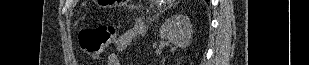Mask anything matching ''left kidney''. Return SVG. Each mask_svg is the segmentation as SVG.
<instances>
[{
    "label": "left kidney",
    "mask_w": 309,
    "mask_h": 65,
    "mask_svg": "<svg viewBox=\"0 0 309 65\" xmlns=\"http://www.w3.org/2000/svg\"><path fill=\"white\" fill-rule=\"evenodd\" d=\"M191 21L186 15H173L166 19L159 30V36L175 46L186 48L191 40Z\"/></svg>",
    "instance_id": "5707ae66"
}]
</instances>
